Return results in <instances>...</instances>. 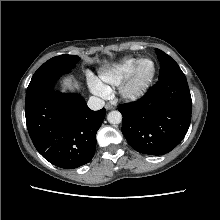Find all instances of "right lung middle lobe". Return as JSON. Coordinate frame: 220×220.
Here are the masks:
<instances>
[{
    "label": "right lung middle lobe",
    "instance_id": "1",
    "mask_svg": "<svg viewBox=\"0 0 220 220\" xmlns=\"http://www.w3.org/2000/svg\"><path fill=\"white\" fill-rule=\"evenodd\" d=\"M80 57L74 55H60L49 59L34 73L27 88L26 101L53 88L56 80L73 69Z\"/></svg>",
    "mask_w": 220,
    "mask_h": 220
}]
</instances>
